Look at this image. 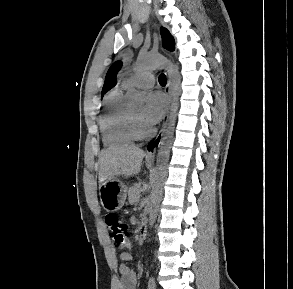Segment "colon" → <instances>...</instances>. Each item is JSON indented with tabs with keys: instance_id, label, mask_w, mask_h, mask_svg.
Listing matches in <instances>:
<instances>
[{
	"instance_id": "obj_1",
	"label": "colon",
	"mask_w": 293,
	"mask_h": 289,
	"mask_svg": "<svg viewBox=\"0 0 293 289\" xmlns=\"http://www.w3.org/2000/svg\"><path fill=\"white\" fill-rule=\"evenodd\" d=\"M105 222L115 241L121 245H126L128 242L127 224L122 219L113 214H108L105 217Z\"/></svg>"
}]
</instances>
